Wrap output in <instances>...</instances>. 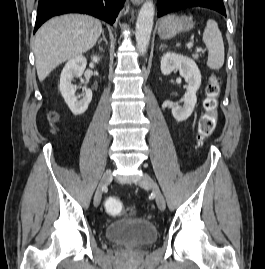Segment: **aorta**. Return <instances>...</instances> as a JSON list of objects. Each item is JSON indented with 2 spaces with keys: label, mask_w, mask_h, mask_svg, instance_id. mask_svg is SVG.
Masks as SVG:
<instances>
[{
  "label": "aorta",
  "mask_w": 265,
  "mask_h": 269,
  "mask_svg": "<svg viewBox=\"0 0 265 269\" xmlns=\"http://www.w3.org/2000/svg\"><path fill=\"white\" fill-rule=\"evenodd\" d=\"M155 7L151 0H146L137 17L136 21V45L141 55L147 52L151 32L154 23Z\"/></svg>",
  "instance_id": "762f6f07"
}]
</instances>
